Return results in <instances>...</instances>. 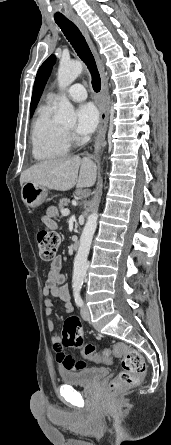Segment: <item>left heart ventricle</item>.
I'll list each match as a JSON object with an SVG mask.
<instances>
[{
  "instance_id": "obj_1",
  "label": "left heart ventricle",
  "mask_w": 171,
  "mask_h": 445,
  "mask_svg": "<svg viewBox=\"0 0 171 445\" xmlns=\"http://www.w3.org/2000/svg\"><path fill=\"white\" fill-rule=\"evenodd\" d=\"M64 128L67 129V130H70L72 127L71 126H65Z\"/></svg>"
}]
</instances>
